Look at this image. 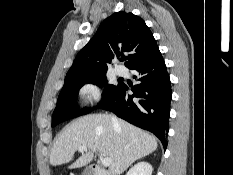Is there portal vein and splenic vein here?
<instances>
[{
	"mask_svg": "<svg viewBox=\"0 0 233 175\" xmlns=\"http://www.w3.org/2000/svg\"><path fill=\"white\" fill-rule=\"evenodd\" d=\"M86 149H87V147H86L85 145H82V146H80V147L78 148V150H79L80 152H83V151H85ZM99 158H100L101 164H102L104 167L110 166V164H111V162H112L110 158L103 157L102 155H100Z\"/></svg>",
	"mask_w": 233,
	"mask_h": 175,
	"instance_id": "1",
	"label": "portal vein and splenic vein"
}]
</instances>
